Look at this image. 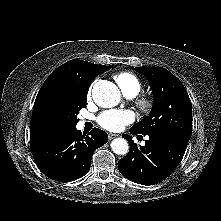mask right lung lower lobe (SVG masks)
Listing matches in <instances>:
<instances>
[{"mask_svg": "<svg viewBox=\"0 0 221 221\" xmlns=\"http://www.w3.org/2000/svg\"><path fill=\"white\" fill-rule=\"evenodd\" d=\"M90 136L72 126L30 141L35 163L47 177L69 182L90 169L93 152L108 141L105 131L94 128Z\"/></svg>", "mask_w": 221, "mask_h": 221, "instance_id": "right-lung-lower-lobe-1", "label": "right lung lower lobe"}]
</instances>
